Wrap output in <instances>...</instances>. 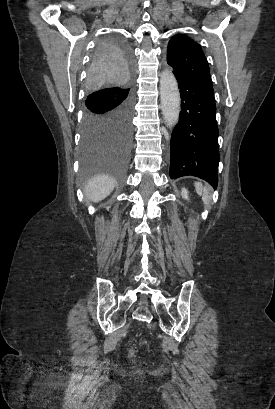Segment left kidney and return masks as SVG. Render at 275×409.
<instances>
[{
  "instance_id": "1",
  "label": "left kidney",
  "mask_w": 275,
  "mask_h": 409,
  "mask_svg": "<svg viewBox=\"0 0 275 409\" xmlns=\"http://www.w3.org/2000/svg\"><path fill=\"white\" fill-rule=\"evenodd\" d=\"M182 196H183V198H188V190H187V188H182Z\"/></svg>"
}]
</instances>
